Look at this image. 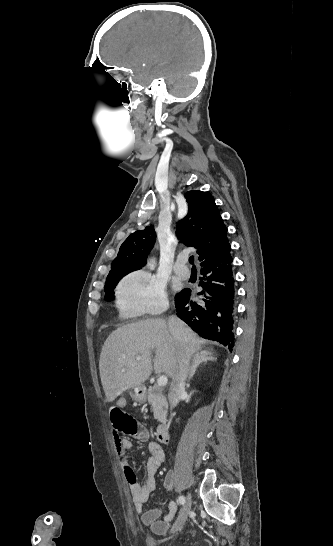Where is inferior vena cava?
<instances>
[{
    "mask_svg": "<svg viewBox=\"0 0 333 546\" xmlns=\"http://www.w3.org/2000/svg\"><path fill=\"white\" fill-rule=\"evenodd\" d=\"M168 328L172 336L180 344L178 367L172 378L168 394L170 406L171 408H174L185 393V381L188 372L190 371V354L186 346L187 335L183 322L177 317H170L168 320Z\"/></svg>",
    "mask_w": 333,
    "mask_h": 546,
    "instance_id": "obj_1",
    "label": "inferior vena cava"
}]
</instances>
